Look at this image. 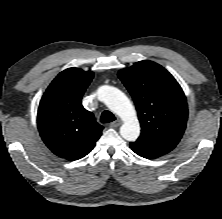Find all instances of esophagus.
<instances>
[{
    "label": "esophagus",
    "instance_id": "1",
    "mask_svg": "<svg viewBox=\"0 0 222 219\" xmlns=\"http://www.w3.org/2000/svg\"><path fill=\"white\" fill-rule=\"evenodd\" d=\"M120 125H121V121L120 120H116V121H114V122H112L110 124V127L115 128V127H118Z\"/></svg>",
    "mask_w": 222,
    "mask_h": 219
}]
</instances>
